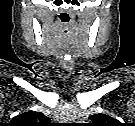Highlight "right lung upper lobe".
Returning a JSON list of instances; mask_svg holds the SVG:
<instances>
[{"label":"right lung upper lobe","instance_id":"cb5924a9","mask_svg":"<svg viewBox=\"0 0 135 126\" xmlns=\"http://www.w3.org/2000/svg\"><path fill=\"white\" fill-rule=\"evenodd\" d=\"M43 119H44V115L42 113L29 111V112L22 113L18 116H15L12 119V122H17V124H24L27 122L36 123Z\"/></svg>","mask_w":135,"mask_h":126}]
</instances>
